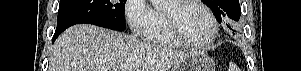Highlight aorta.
Segmentation results:
<instances>
[{
	"instance_id": "aorta-1",
	"label": "aorta",
	"mask_w": 301,
	"mask_h": 71,
	"mask_svg": "<svg viewBox=\"0 0 301 71\" xmlns=\"http://www.w3.org/2000/svg\"><path fill=\"white\" fill-rule=\"evenodd\" d=\"M154 7H162L166 4L167 0H151Z\"/></svg>"
}]
</instances>
